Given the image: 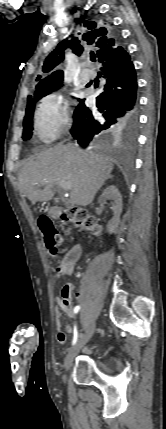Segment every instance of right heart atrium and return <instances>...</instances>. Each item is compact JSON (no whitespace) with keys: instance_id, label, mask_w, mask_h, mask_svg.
<instances>
[{"instance_id":"obj_1","label":"right heart atrium","mask_w":166,"mask_h":429,"mask_svg":"<svg viewBox=\"0 0 166 429\" xmlns=\"http://www.w3.org/2000/svg\"><path fill=\"white\" fill-rule=\"evenodd\" d=\"M69 123L68 101L61 93H51L40 101L34 115V128L42 141H53Z\"/></svg>"}]
</instances>
